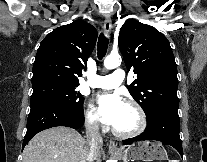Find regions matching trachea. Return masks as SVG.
Returning <instances> with one entry per match:
<instances>
[{
	"instance_id": "obj_1",
	"label": "trachea",
	"mask_w": 207,
	"mask_h": 162,
	"mask_svg": "<svg viewBox=\"0 0 207 162\" xmlns=\"http://www.w3.org/2000/svg\"><path fill=\"white\" fill-rule=\"evenodd\" d=\"M108 39L104 36L103 33H101L99 35V40H98V46H97V54H98V58L101 60L108 49Z\"/></svg>"
}]
</instances>
